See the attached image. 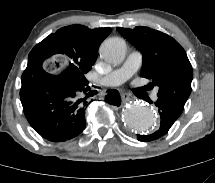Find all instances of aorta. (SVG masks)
I'll use <instances>...</instances> for the list:
<instances>
[{
    "label": "aorta",
    "mask_w": 215,
    "mask_h": 183,
    "mask_svg": "<svg viewBox=\"0 0 215 183\" xmlns=\"http://www.w3.org/2000/svg\"><path fill=\"white\" fill-rule=\"evenodd\" d=\"M103 59L112 64L121 63L126 54V43L123 39L112 37L106 39L101 47ZM122 119L126 127L138 133L153 131L157 124V115L148 105L141 102H131L122 112Z\"/></svg>",
    "instance_id": "aorta-1"
}]
</instances>
